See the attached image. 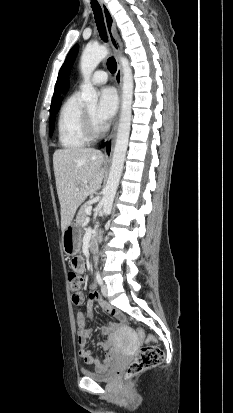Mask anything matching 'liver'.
Masks as SVG:
<instances>
[{
  "instance_id": "6515ba94",
  "label": "liver",
  "mask_w": 233,
  "mask_h": 413,
  "mask_svg": "<svg viewBox=\"0 0 233 413\" xmlns=\"http://www.w3.org/2000/svg\"><path fill=\"white\" fill-rule=\"evenodd\" d=\"M103 159L102 152L93 148L60 149L53 154L62 230L71 224L87 196L94 194L101 186Z\"/></svg>"
}]
</instances>
